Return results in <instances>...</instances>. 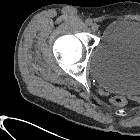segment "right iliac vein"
Here are the masks:
<instances>
[{
    "instance_id": "63e3f726",
    "label": "right iliac vein",
    "mask_w": 140,
    "mask_h": 140,
    "mask_svg": "<svg viewBox=\"0 0 140 140\" xmlns=\"http://www.w3.org/2000/svg\"><path fill=\"white\" fill-rule=\"evenodd\" d=\"M98 29H99V25H98L97 23H93V24L91 25V30H92L93 32H97Z\"/></svg>"
}]
</instances>
